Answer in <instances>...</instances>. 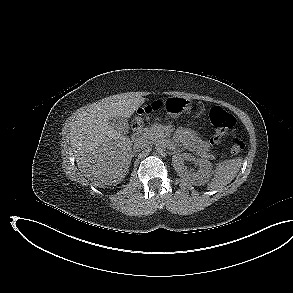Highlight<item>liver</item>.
<instances>
[{"label": "liver", "mask_w": 293, "mask_h": 293, "mask_svg": "<svg viewBox=\"0 0 293 293\" xmlns=\"http://www.w3.org/2000/svg\"><path fill=\"white\" fill-rule=\"evenodd\" d=\"M145 102L122 93L80 109L70 123V144L81 173L95 185L119 183L129 171L132 141L113 129L111 117L130 118Z\"/></svg>", "instance_id": "1"}]
</instances>
